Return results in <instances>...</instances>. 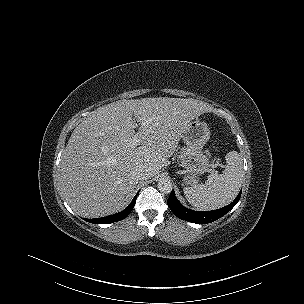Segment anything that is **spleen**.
Segmentation results:
<instances>
[{"label":"spleen","mask_w":304,"mask_h":304,"mask_svg":"<svg viewBox=\"0 0 304 304\" xmlns=\"http://www.w3.org/2000/svg\"><path fill=\"white\" fill-rule=\"evenodd\" d=\"M226 167L222 174L216 175L205 184L184 187L187 201L199 210L221 208L237 196L243 182V162L237 151L226 154Z\"/></svg>","instance_id":"1"}]
</instances>
